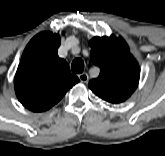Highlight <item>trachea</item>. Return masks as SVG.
Listing matches in <instances>:
<instances>
[{
    "label": "trachea",
    "mask_w": 165,
    "mask_h": 156,
    "mask_svg": "<svg viewBox=\"0 0 165 156\" xmlns=\"http://www.w3.org/2000/svg\"><path fill=\"white\" fill-rule=\"evenodd\" d=\"M71 69L73 73H82L84 71V62L80 58L73 60L71 64Z\"/></svg>",
    "instance_id": "1"
}]
</instances>
